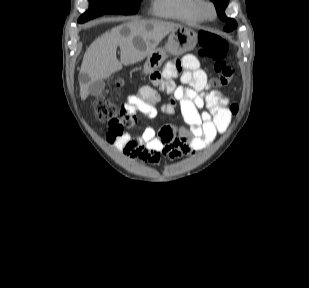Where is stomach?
<instances>
[{
	"mask_svg": "<svg viewBox=\"0 0 309 288\" xmlns=\"http://www.w3.org/2000/svg\"><path fill=\"white\" fill-rule=\"evenodd\" d=\"M197 33L186 26H179L174 29L163 48H157L149 55L144 63V73H151L161 67L163 62L170 55H181L191 51L196 46Z\"/></svg>",
	"mask_w": 309,
	"mask_h": 288,
	"instance_id": "0dacf381",
	"label": "stomach"
}]
</instances>
